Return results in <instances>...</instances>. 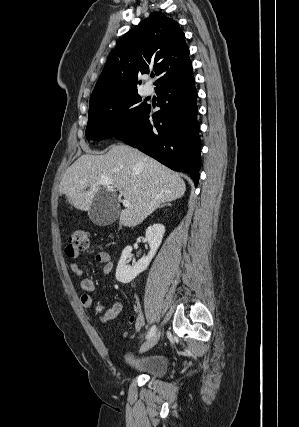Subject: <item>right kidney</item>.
I'll return each instance as SVG.
<instances>
[{
  "mask_svg": "<svg viewBox=\"0 0 299 427\" xmlns=\"http://www.w3.org/2000/svg\"><path fill=\"white\" fill-rule=\"evenodd\" d=\"M164 232L165 227L162 224H153L147 228L146 240L150 246V252L132 266L128 265L132 247L127 246L124 248L116 269L115 276L117 281L127 284L147 269L162 242Z\"/></svg>",
  "mask_w": 299,
  "mask_h": 427,
  "instance_id": "ca27d5eb",
  "label": "right kidney"
}]
</instances>
